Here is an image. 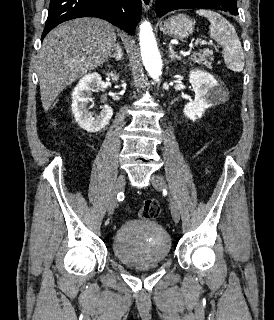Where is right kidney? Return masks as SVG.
Here are the masks:
<instances>
[{
  "instance_id": "obj_1",
  "label": "right kidney",
  "mask_w": 274,
  "mask_h": 320,
  "mask_svg": "<svg viewBox=\"0 0 274 320\" xmlns=\"http://www.w3.org/2000/svg\"><path fill=\"white\" fill-rule=\"evenodd\" d=\"M106 76L111 78L113 82H118L119 80V74H117V72H109ZM101 84L102 78L100 74L94 72V74H87V76L81 78L72 92V114H74L78 126H80L82 130L90 132V134L100 132L102 128L108 126L113 116V110L110 106H102L101 112H99L97 116H94L93 112H89L87 108L89 102L93 100V98H91L92 92H97L95 88H100Z\"/></svg>"
}]
</instances>
